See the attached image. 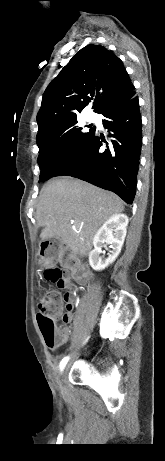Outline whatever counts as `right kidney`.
<instances>
[{
	"mask_svg": "<svg viewBox=\"0 0 165 461\" xmlns=\"http://www.w3.org/2000/svg\"><path fill=\"white\" fill-rule=\"evenodd\" d=\"M127 225L128 217L125 214H115L98 230L93 239L94 249L89 254V263L94 270L105 269L118 257L126 236ZM107 245H110L112 250L109 257L103 259L100 254L103 252L102 247Z\"/></svg>",
	"mask_w": 165,
	"mask_h": 461,
	"instance_id": "obj_1",
	"label": "right kidney"
}]
</instances>
